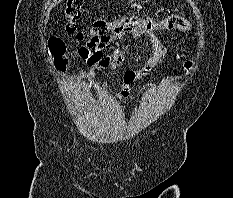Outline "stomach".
<instances>
[{"label":"stomach","mask_w":233,"mask_h":198,"mask_svg":"<svg viewBox=\"0 0 233 198\" xmlns=\"http://www.w3.org/2000/svg\"><path fill=\"white\" fill-rule=\"evenodd\" d=\"M128 1H129V2H134V1H136V0H128ZM138 1L145 3V2H149L150 0H138Z\"/></svg>","instance_id":"0dacf381"}]
</instances>
